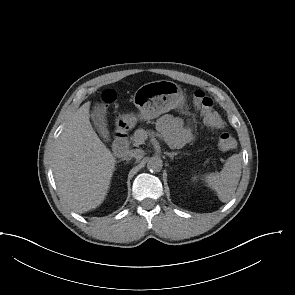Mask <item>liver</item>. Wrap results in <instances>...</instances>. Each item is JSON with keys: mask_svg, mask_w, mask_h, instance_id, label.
<instances>
[{"mask_svg": "<svg viewBox=\"0 0 295 295\" xmlns=\"http://www.w3.org/2000/svg\"><path fill=\"white\" fill-rule=\"evenodd\" d=\"M90 102L69 119L53 153V173L63 201L84 213L104 201L115 167V157L99 139L89 120Z\"/></svg>", "mask_w": 295, "mask_h": 295, "instance_id": "obj_1", "label": "liver"}]
</instances>
